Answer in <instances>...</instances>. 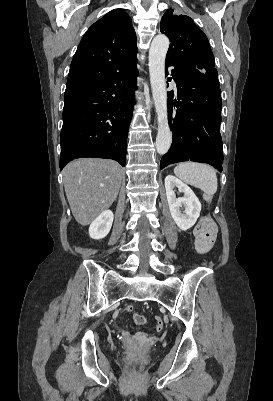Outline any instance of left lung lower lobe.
<instances>
[{
  "label": "left lung lower lobe",
  "instance_id": "0a47b994",
  "mask_svg": "<svg viewBox=\"0 0 273 401\" xmlns=\"http://www.w3.org/2000/svg\"><path fill=\"white\" fill-rule=\"evenodd\" d=\"M173 66L177 98L168 92V118L173 139L162 157L160 169L181 161L208 163L222 171L223 149L220 135L221 90L217 70H193L166 57V69Z\"/></svg>",
  "mask_w": 273,
  "mask_h": 401
}]
</instances>
